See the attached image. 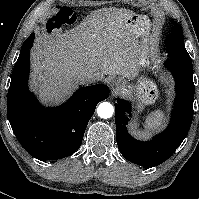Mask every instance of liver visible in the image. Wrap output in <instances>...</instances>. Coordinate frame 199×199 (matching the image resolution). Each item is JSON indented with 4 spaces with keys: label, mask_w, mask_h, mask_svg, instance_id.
<instances>
[{
    "label": "liver",
    "mask_w": 199,
    "mask_h": 199,
    "mask_svg": "<svg viewBox=\"0 0 199 199\" xmlns=\"http://www.w3.org/2000/svg\"><path fill=\"white\" fill-rule=\"evenodd\" d=\"M135 13L120 8L91 12L64 33L41 39L33 54V84L44 101H60L90 73L134 79L145 31L131 30L127 19Z\"/></svg>",
    "instance_id": "obj_1"
}]
</instances>
